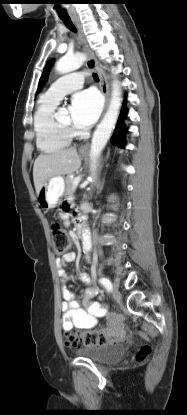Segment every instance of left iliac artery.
I'll return each mask as SVG.
<instances>
[{
	"instance_id": "44dca946",
	"label": "left iliac artery",
	"mask_w": 187,
	"mask_h": 415,
	"mask_svg": "<svg viewBox=\"0 0 187 415\" xmlns=\"http://www.w3.org/2000/svg\"><path fill=\"white\" fill-rule=\"evenodd\" d=\"M100 283L107 289V291L112 290V283L110 282L109 279L103 277L100 279Z\"/></svg>"
}]
</instances>
